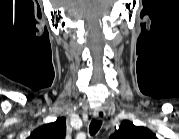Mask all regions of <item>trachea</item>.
Returning <instances> with one entry per match:
<instances>
[{
    "label": "trachea",
    "instance_id": "trachea-1",
    "mask_svg": "<svg viewBox=\"0 0 179 139\" xmlns=\"http://www.w3.org/2000/svg\"><path fill=\"white\" fill-rule=\"evenodd\" d=\"M102 125L101 120L93 119L89 126V133L91 136L95 135Z\"/></svg>",
    "mask_w": 179,
    "mask_h": 139
}]
</instances>
